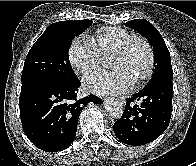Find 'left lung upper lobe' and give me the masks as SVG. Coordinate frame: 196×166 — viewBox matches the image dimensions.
<instances>
[{
	"instance_id": "obj_1",
	"label": "left lung upper lobe",
	"mask_w": 196,
	"mask_h": 166,
	"mask_svg": "<svg viewBox=\"0 0 196 166\" xmlns=\"http://www.w3.org/2000/svg\"><path fill=\"white\" fill-rule=\"evenodd\" d=\"M125 25L134 28L145 36L153 46L155 69L149 83L156 80L172 79L173 70L170 53L159 31L145 19H134L126 22Z\"/></svg>"
}]
</instances>
